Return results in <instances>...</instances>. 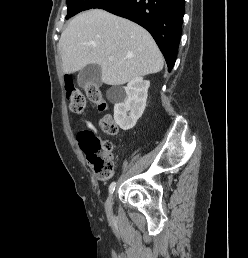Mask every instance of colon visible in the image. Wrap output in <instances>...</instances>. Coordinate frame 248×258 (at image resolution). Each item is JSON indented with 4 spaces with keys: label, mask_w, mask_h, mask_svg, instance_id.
<instances>
[{
    "label": "colon",
    "mask_w": 248,
    "mask_h": 258,
    "mask_svg": "<svg viewBox=\"0 0 248 258\" xmlns=\"http://www.w3.org/2000/svg\"><path fill=\"white\" fill-rule=\"evenodd\" d=\"M67 97L70 100V108L75 113H83L85 110V97L81 90L72 82L67 85ZM86 93L91 102L100 108L106 107L100 88L95 84L86 87ZM102 130L110 135L118 133V126L111 116H105L100 121ZM77 142L92 166L96 176L101 180H109L114 176V146L111 142L103 140L95 131L82 130L77 134Z\"/></svg>",
    "instance_id": "5ec220e1"
}]
</instances>
